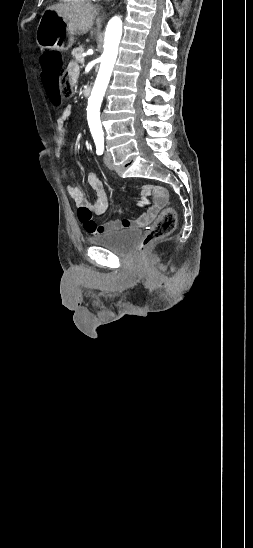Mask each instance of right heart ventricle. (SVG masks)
<instances>
[{
    "instance_id": "right-heart-ventricle-1",
    "label": "right heart ventricle",
    "mask_w": 253,
    "mask_h": 548,
    "mask_svg": "<svg viewBox=\"0 0 253 548\" xmlns=\"http://www.w3.org/2000/svg\"><path fill=\"white\" fill-rule=\"evenodd\" d=\"M61 1L68 2V3H83L89 0H61Z\"/></svg>"
}]
</instances>
